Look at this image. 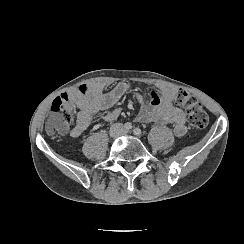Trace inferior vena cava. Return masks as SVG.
Listing matches in <instances>:
<instances>
[{
  "label": "inferior vena cava",
  "instance_id": "1",
  "mask_svg": "<svg viewBox=\"0 0 244 244\" xmlns=\"http://www.w3.org/2000/svg\"><path fill=\"white\" fill-rule=\"evenodd\" d=\"M112 129H114L115 131L123 129V124L122 123H114L113 125H111V130Z\"/></svg>",
  "mask_w": 244,
  "mask_h": 244
}]
</instances>
